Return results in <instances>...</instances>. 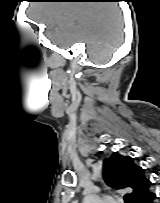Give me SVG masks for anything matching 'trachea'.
Returning <instances> with one entry per match:
<instances>
[{
    "mask_svg": "<svg viewBox=\"0 0 160 203\" xmlns=\"http://www.w3.org/2000/svg\"><path fill=\"white\" fill-rule=\"evenodd\" d=\"M124 201L125 203H132L130 195L128 194L124 195Z\"/></svg>",
    "mask_w": 160,
    "mask_h": 203,
    "instance_id": "trachea-1",
    "label": "trachea"
}]
</instances>
